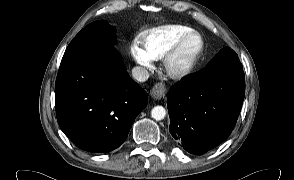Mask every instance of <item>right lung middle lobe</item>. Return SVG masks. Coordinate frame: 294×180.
<instances>
[{
  "instance_id": "right-lung-middle-lobe-1",
  "label": "right lung middle lobe",
  "mask_w": 294,
  "mask_h": 180,
  "mask_svg": "<svg viewBox=\"0 0 294 180\" xmlns=\"http://www.w3.org/2000/svg\"><path fill=\"white\" fill-rule=\"evenodd\" d=\"M115 32V28L104 20L89 24L70 42L62 60L83 52L111 48L115 40Z\"/></svg>"
}]
</instances>
